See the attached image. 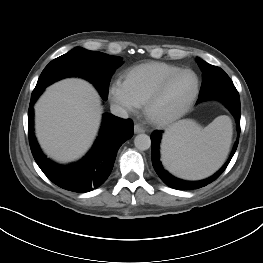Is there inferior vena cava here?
Instances as JSON below:
<instances>
[{"instance_id":"obj_1","label":"inferior vena cava","mask_w":263,"mask_h":263,"mask_svg":"<svg viewBox=\"0 0 263 263\" xmlns=\"http://www.w3.org/2000/svg\"><path fill=\"white\" fill-rule=\"evenodd\" d=\"M110 110H111V113L115 116H118V117H121V118H128V113L127 111L122 108L121 106H118V105H111L110 106Z\"/></svg>"}]
</instances>
